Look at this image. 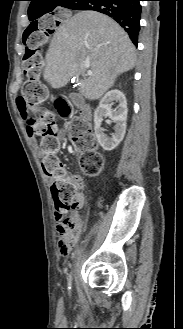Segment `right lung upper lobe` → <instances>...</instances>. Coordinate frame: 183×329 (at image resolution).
<instances>
[{"label": "right lung upper lobe", "mask_w": 183, "mask_h": 329, "mask_svg": "<svg viewBox=\"0 0 183 329\" xmlns=\"http://www.w3.org/2000/svg\"><path fill=\"white\" fill-rule=\"evenodd\" d=\"M31 4L28 9V16L30 20H36L46 13H53L57 7H65L69 5L72 0H30ZM37 22V21H34ZM32 22V23H34Z\"/></svg>", "instance_id": "1"}]
</instances>
